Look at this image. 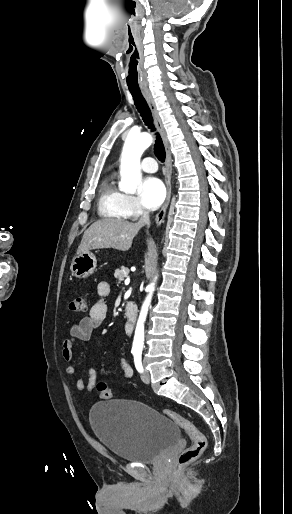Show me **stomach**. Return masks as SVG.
<instances>
[{"mask_svg": "<svg viewBox=\"0 0 292 514\" xmlns=\"http://www.w3.org/2000/svg\"><path fill=\"white\" fill-rule=\"evenodd\" d=\"M96 266L97 260L94 254H91V252H83V254H76V256L72 258L70 270L72 276H76V278H88V276H91V274L95 272Z\"/></svg>", "mask_w": 292, "mask_h": 514, "instance_id": "0dacf381", "label": "stomach"}]
</instances>
